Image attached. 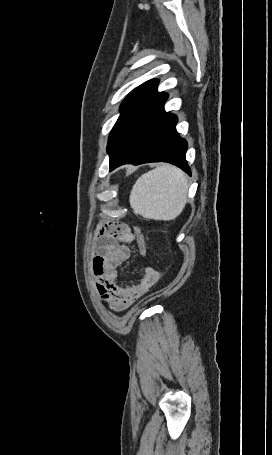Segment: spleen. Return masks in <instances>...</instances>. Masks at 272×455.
<instances>
[{
	"instance_id": "1",
	"label": "spleen",
	"mask_w": 272,
	"mask_h": 455,
	"mask_svg": "<svg viewBox=\"0 0 272 455\" xmlns=\"http://www.w3.org/2000/svg\"><path fill=\"white\" fill-rule=\"evenodd\" d=\"M187 177L179 168L161 164L139 177L130 193L133 212L147 219L173 220L187 201Z\"/></svg>"
}]
</instances>
